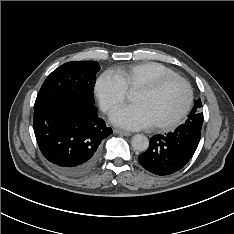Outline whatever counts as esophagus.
Returning <instances> with one entry per match:
<instances>
[{
  "label": "esophagus",
  "instance_id": "34e87169",
  "mask_svg": "<svg viewBox=\"0 0 234 234\" xmlns=\"http://www.w3.org/2000/svg\"><path fill=\"white\" fill-rule=\"evenodd\" d=\"M114 132L117 134L124 135V136H131L132 135L131 132L120 130V129H114Z\"/></svg>",
  "mask_w": 234,
  "mask_h": 234
}]
</instances>
